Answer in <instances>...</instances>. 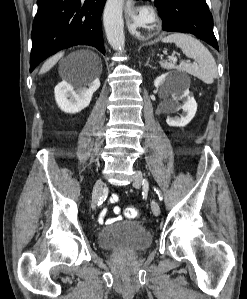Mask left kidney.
<instances>
[{"mask_svg": "<svg viewBox=\"0 0 247 299\" xmlns=\"http://www.w3.org/2000/svg\"><path fill=\"white\" fill-rule=\"evenodd\" d=\"M155 87H161L167 93H169L173 98L176 105L177 100L182 101L183 115L175 118L168 117L166 122L169 126L173 127H184L186 126L195 116L197 111V103L190 95L189 89H181L175 86L174 78L167 74H163L157 77L154 81Z\"/></svg>", "mask_w": 247, "mask_h": 299, "instance_id": "5707ae66", "label": "left kidney"}]
</instances>
